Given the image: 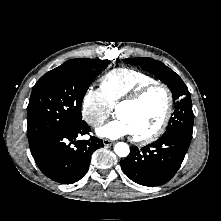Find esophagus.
<instances>
[{
  "instance_id": "1",
  "label": "esophagus",
  "mask_w": 221,
  "mask_h": 221,
  "mask_svg": "<svg viewBox=\"0 0 221 221\" xmlns=\"http://www.w3.org/2000/svg\"><path fill=\"white\" fill-rule=\"evenodd\" d=\"M103 144L105 145V146H111V145H113L115 142L114 141H112V140H109V139H103Z\"/></svg>"
}]
</instances>
